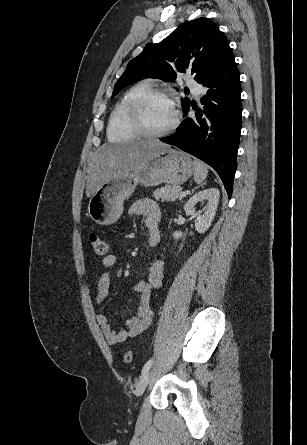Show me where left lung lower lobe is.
<instances>
[{
  "instance_id": "left-lung-lower-lobe-1",
  "label": "left lung lower lobe",
  "mask_w": 307,
  "mask_h": 445,
  "mask_svg": "<svg viewBox=\"0 0 307 445\" xmlns=\"http://www.w3.org/2000/svg\"><path fill=\"white\" fill-rule=\"evenodd\" d=\"M202 86L206 88L201 98L204 107L195 108L196 119L186 118L174 134L160 140L213 167L230 198L237 166L242 114L239 71L234 57L226 61Z\"/></svg>"
}]
</instances>
